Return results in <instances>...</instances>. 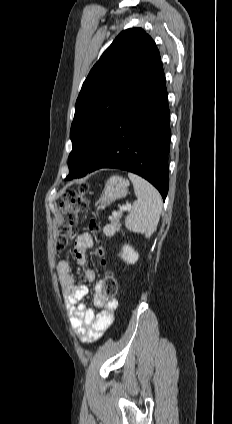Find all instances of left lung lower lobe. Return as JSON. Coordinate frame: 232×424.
<instances>
[{
    "label": "left lung lower lobe",
    "instance_id": "obj_1",
    "mask_svg": "<svg viewBox=\"0 0 232 424\" xmlns=\"http://www.w3.org/2000/svg\"><path fill=\"white\" fill-rule=\"evenodd\" d=\"M170 137L166 80L160 62L110 127L88 172L100 168L133 172L153 184L165 200Z\"/></svg>",
    "mask_w": 232,
    "mask_h": 424
}]
</instances>
